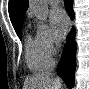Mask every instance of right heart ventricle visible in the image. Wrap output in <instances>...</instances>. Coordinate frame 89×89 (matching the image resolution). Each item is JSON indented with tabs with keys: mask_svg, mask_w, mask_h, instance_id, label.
Listing matches in <instances>:
<instances>
[{
	"mask_svg": "<svg viewBox=\"0 0 89 89\" xmlns=\"http://www.w3.org/2000/svg\"><path fill=\"white\" fill-rule=\"evenodd\" d=\"M25 57L28 68L33 72H47L52 66L51 59L43 56L36 38L31 36H28L25 42Z\"/></svg>",
	"mask_w": 89,
	"mask_h": 89,
	"instance_id": "1",
	"label": "right heart ventricle"
}]
</instances>
